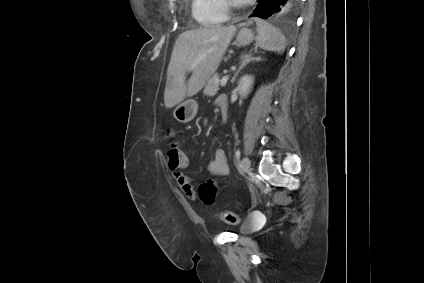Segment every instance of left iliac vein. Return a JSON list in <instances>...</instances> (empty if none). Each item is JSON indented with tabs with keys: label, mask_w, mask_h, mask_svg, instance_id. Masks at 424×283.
Wrapping results in <instances>:
<instances>
[{
	"label": "left iliac vein",
	"mask_w": 424,
	"mask_h": 283,
	"mask_svg": "<svg viewBox=\"0 0 424 283\" xmlns=\"http://www.w3.org/2000/svg\"><path fill=\"white\" fill-rule=\"evenodd\" d=\"M250 165H251L250 159L247 156H245L241 162V167L243 172H248L250 169Z\"/></svg>",
	"instance_id": "4c4485c4"
}]
</instances>
